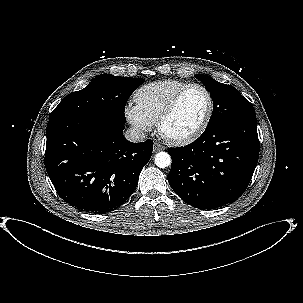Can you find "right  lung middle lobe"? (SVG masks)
<instances>
[{"mask_svg": "<svg viewBox=\"0 0 303 303\" xmlns=\"http://www.w3.org/2000/svg\"><path fill=\"white\" fill-rule=\"evenodd\" d=\"M143 81L142 78L101 74L84 89L68 94L52 111L49 121L103 117L125 124L126 102Z\"/></svg>", "mask_w": 303, "mask_h": 303, "instance_id": "dd1d6c3e", "label": "right lung middle lobe"}]
</instances>
